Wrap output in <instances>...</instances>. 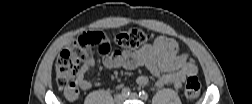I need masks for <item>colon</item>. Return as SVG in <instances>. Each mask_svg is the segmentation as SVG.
<instances>
[{
	"label": "colon",
	"instance_id": "colon-1",
	"mask_svg": "<svg viewBox=\"0 0 252 104\" xmlns=\"http://www.w3.org/2000/svg\"><path fill=\"white\" fill-rule=\"evenodd\" d=\"M149 40V34L140 28H129L117 33L113 40L99 31L87 32L71 42L58 56L55 64L56 83L68 99H76L80 81L86 75L84 61L93 57L94 51L101 58L110 56L113 48L137 49ZM201 83L195 76L185 82L184 93L189 100L199 96Z\"/></svg>",
	"mask_w": 252,
	"mask_h": 104
}]
</instances>
